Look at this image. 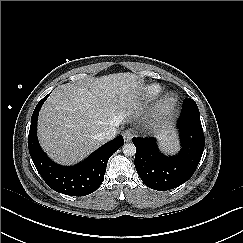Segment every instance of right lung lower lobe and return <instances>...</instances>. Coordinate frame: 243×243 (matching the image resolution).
<instances>
[{"label":"right lung lower lobe","instance_id":"obj_1","mask_svg":"<svg viewBox=\"0 0 243 243\" xmlns=\"http://www.w3.org/2000/svg\"><path fill=\"white\" fill-rule=\"evenodd\" d=\"M49 95L35 107L31 118L28 147L35 167L46 184L53 190L70 196H85L101 185L111 155L123 144L121 135L107 142L88 158L75 166H61L54 163L41 149L37 138L39 111Z\"/></svg>","mask_w":243,"mask_h":243}]
</instances>
